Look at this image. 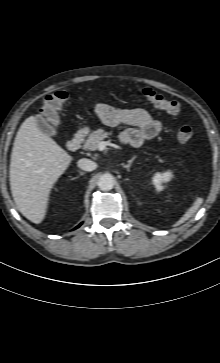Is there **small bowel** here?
I'll return each mask as SVG.
<instances>
[{
    "instance_id": "obj_1",
    "label": "small bowel",
    "mask_w": 220,
    "mask_h": 363,
    "mask_svg": "<svg viewBox=\"0 0 220 363\" xmlns=\"http://www.w3.org/2000/svg\"><path fill=\"white\" fill-rule=\"evenodd\" d=\"M94 109L104 124L127 126V129L121 134V141L135 147L142 146L145 141L157 137L163 129L162 123L142 108L115 110L100 103L95 105Z\"/></svg>"
}]
</instances>
